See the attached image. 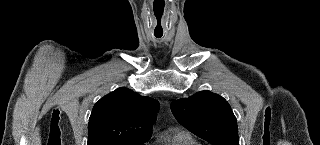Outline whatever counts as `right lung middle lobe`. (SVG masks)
<instances>
[{
  "label": "right lung middle lobe",
  "instance_id": "right-lung-middle-lobe-1",
  "mask_svg": "<svg viewBox=\"0 0 320 145\" xmlns=\"http://www.w3.org/2000/svg\"><path fill=\"white\" fill-rule=\"evenodd\" d=\"M144 143H137V144H124V143H108L104 145H143Z\"/></svg>",
  "mask_w": 320,
  "mask_h": 145
}]
</instances>
